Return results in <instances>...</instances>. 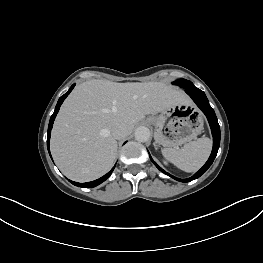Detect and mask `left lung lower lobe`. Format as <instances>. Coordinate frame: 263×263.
I'll return each mask as SVG.
<instances>
[{
	"label": "left lung lower lobe",
	"instance_id": "1",
	"mask_svg": "<svg viewBox=\"0 0 263 263\" xmlns=\"http://www.w3.org/2000/svg\"><path fill=\"white\" fill-rule=\"evenodd\" d=\"M185 92L194 100V102L197 104V106L203 111V113L206 115L210 127H211V131H212V135H213V149L211 152V155L208 159V161L205 163V165L198 171L196 172L192 177L188 178V179H178L175 178L174 176L170 175L169 173L165 172L161 167H159L156 162H154L151 158V161L154 163V165L163 173L169 175L170 177L181 181V182H189L192 181L194 179L199 178L203 173L206 172V170L211 166V164L213 163L219 146H220V127L218 124V120L217 117L215 115V112L213 110V108L210 106L209 101L205 95V93L203 91H201L200 89L193 87V88H185Z\"/></svg>",
	"mask_w": 263,
	"mask_h": 263
}]
</instances>
